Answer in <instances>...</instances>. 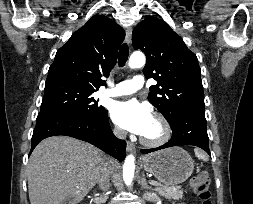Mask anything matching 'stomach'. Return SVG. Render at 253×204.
<instances>
[{
	"instance_id": "obj_1",
	"label": "stomach",
	"mask_w": 253,
	"mask_h": 204,
	"mask_svg": "<svg viewBox=\"0 0 253 204\" xmlns=\"http://www.w3.org/2000/svg\"><path fill=\"white\" fill-rule=\"evenodd\" d=\"M143 169L166 186L186 181L194 170L191 156L180 147L168 148L140 158Z\"/></svg>"
}]
</instances>
